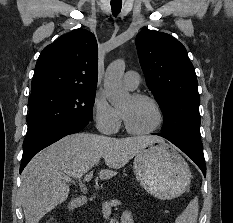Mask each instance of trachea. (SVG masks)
<instances>
[{
    "mask_svg": "<svg viewBox=\"0 0 233 223\" xmlns=\"http://www.w3.org/2000/svg\"><path fill=\"white\" fill-rule=\"evenodd\" d=\"M121 7H122L121 3H111L112 13L114 16L120 13Z\"/></svg>",
    "mask_w": 233,
    "mask_h": 223,
    "instance_id": "1",
    "label": "trachea"
}]
</instances>
